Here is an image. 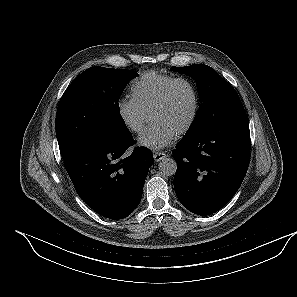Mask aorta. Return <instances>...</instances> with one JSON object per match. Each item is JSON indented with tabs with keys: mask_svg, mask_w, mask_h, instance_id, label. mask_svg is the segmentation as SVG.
Returning a JSON list of instances; mask_svg holds the SVG:
<instances>
[{
	"mask_svg": "<svg viewBox=\"0 0 297 297\" xmlns=\"http://www.w3.org/2000/svg\"><path fill=\"white\" fill-rule=\"evenodd\" d=\"M158 166L159 171L165 176H172L176 173L177 164L172 158L163 157Z\"/></svg>",
	"mask_w": 297,
	"mask_h": 297,
	"instance_id": "aorta-1",
	"label": "aorta"
}]
</instances>
